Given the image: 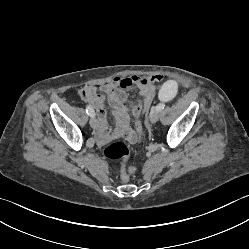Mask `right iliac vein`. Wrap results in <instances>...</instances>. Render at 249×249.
Here are the masks:
<instances>
[{
    "label": "right iliac vein",
    "instance_id": "obj_1",
    "mask_svg": "<svg viewBox=\"0 0 249 249\" xmlns=\"http://www.w3.org/2000/svg\"><path fill=\"white\" fill-rule=\"evenodd\" d=\"M89 123H90V126L94 129H96L98 126V121L95 117H91Z\"/></svg>",
    "mask_w": 249,
    "mask_h": 249
}]
</instances>
